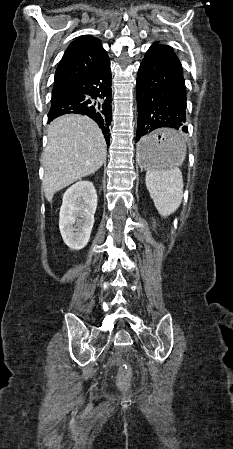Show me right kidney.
Here are the masks:
<instances>
[{
  "mask_svg": "<svg viewBox=\"0 0 233 449\" xmlns=\"http://www.w3.org/2000/svg\"><path fill=\"white\" fill-rule=\"evenodd\" d=\"M96 208L97 194L90 181H79L64 193L59 229L69 248L80 250L87 245Z\"/></svg>",
  "mask_w": 233,
  "mask_h": 449,
  "instance_id": "obj_1",
  "label": "right kidney"
}]
</instances>
